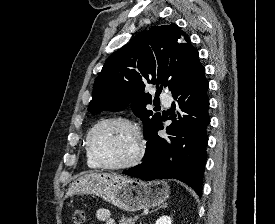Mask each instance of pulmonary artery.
Segmentation results:
<instances>
[{
    "label": "pulmonary artery",
    "instance_id": "obj_1",
    "mask_svg": "<svg viewBox=\"0 0 275 224\" xmlns=\"http://www.w3.org/2000/svg\"><path fill=\"white\" fill-rule=\"evenodd\" d=\"M159 98L160 101L166 105H169L171 103V97L166 92H161Z\"/></svg>",
    "mask_w": 275,
    "mask_h": 224
}]
</instances>
